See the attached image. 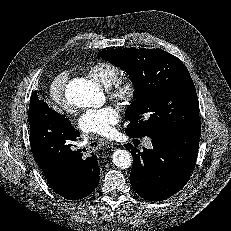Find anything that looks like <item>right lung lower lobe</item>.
<instances>
[{
	"mask_svg": "<svg viewBox=\"0 0 231 231\" xmlns=\"http://www.w3.org/2000/svg\"><path fill=\"white\" fill-rule=\"evenodd\" d=\"M33 100L36 102L29 123L30 145L37 164L57 194L69 200L84 198L99 183L97 156L76 150L72 143L79 134L68 120L48 108L36 92L32 94Z\"/></svg>",
	"mask_w": 231,
	"mask_h": 231,
	"instance_id": "obj_1",
	"label": "right lung lower lobe"
}]
</instances>
